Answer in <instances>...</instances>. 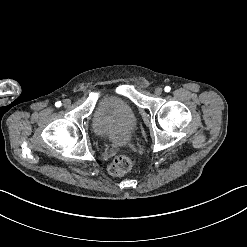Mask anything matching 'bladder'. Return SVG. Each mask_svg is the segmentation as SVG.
<instances>
[{
	"label": "bladder",
	"instance_id": "1",
	"mask_svg": "<svg viewBox=\"0 0 247 247\" xmlns=\"http://www.w3.org/2000/svg\"><path fill=\"white\" fill-rule=\"evenodd\" d=\"M136 125L131 103L121 96H107L95 105L93 130L100 140L118 137L121 143L129 140Z\"/></svg>",
	"mask_w": 247,
	"mask_h": 247
}]
</instances>
